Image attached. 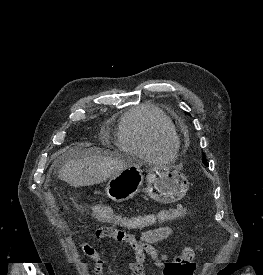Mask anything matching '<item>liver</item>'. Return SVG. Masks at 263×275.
Returning <instances> with one entry per match:
<instances>
[{
    "label": "liver",
    "mask_w": 263,
    "mask_h": 275,
    "mask_svg": "<svg viewBox=\"0 0 263 275\" xmlns=\"http://www.w3.org/2000/svg\"><path fill=\"white\" fill-rule=\"evenodd\" d=\"M134 163L123 156L88 150L68 160L59 171V178L72 187L99 184Z\"/></svg>",
    "instance_id": "liver-1"
}]
</instances>
